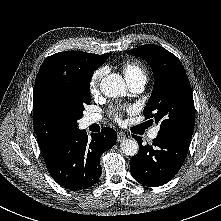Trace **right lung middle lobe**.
I'll return each mask as SVG.
<instances>
[{"label":"right lung middle lobe","mask_w":221,"mask_h":221,"mask_svg":"<svg viewBox=\"0 0 221 221\" xmlns=\"http://www.w3.org/2000/svg\"><path fill=\"white\" fill-rule=\"evenodd\" d=\"M94 71L75 70L54 79L48 86L53 105L75 123L82 117L84 106L90 103V80Z\"/></svg>","instance_id":"dd1d6c3e"}]
</instances>
